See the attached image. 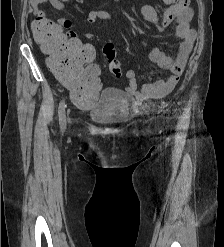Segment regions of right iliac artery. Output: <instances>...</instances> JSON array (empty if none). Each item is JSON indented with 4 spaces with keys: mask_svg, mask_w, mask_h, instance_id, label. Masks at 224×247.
Returning a JSON list of instances; mask_svg holds the SVG:
<instances>
[{
    "mask_svg": "<svg viewBox=\"0 0 224 247\" xmlns=\"http://www.w3.org/2000/svg\"><path fill=\"white\" fill-rule=\"evenodd\" d=\"M65 108H66V104H65L64 100H62L59 104V109H58L59 124H60V128L62 131H64L66 128Z\"/></svg>",
    "mask_w": 224,
    "mask_h": 247,
    "instance_id": "obj_1",
    "label": "right iliac artery"
}]
</instances>
